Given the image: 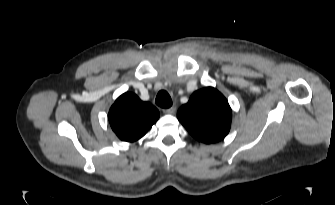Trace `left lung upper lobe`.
<instances>
[{
    "label": "left lung upper lobe",
    "mask_w": 335,
    "mask_h": 205,
    "mask_svg": "<svg viewBox=\"0 0 335 205\" xmlns=\"http://www.w3.org/2000/svg\"><path fill=\"white\" fill-rule=\"evenodd\" d=\"M177 117L194 138L209 144L228 134L232 113L226 98L215 88L206 87L191 95Z\"/></svg>",
    "instance_id": "obj_1"
}]
</instances>
